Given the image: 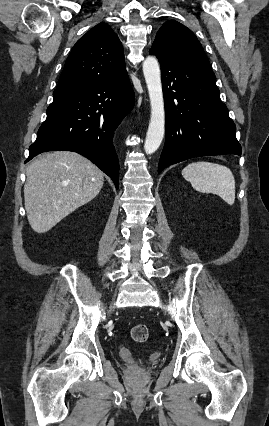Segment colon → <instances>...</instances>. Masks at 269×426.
Segmentation results:
<instances>
[{"instance_id":"1","label":"colon","mask_w":269,"mask_h":426,"mask_svg":"<svg viewBox=\"0 0 269 426\" xmlns=\"http://www.w3.org/2000/svg\"><path fill=\"white\" fill-rule=\"evenodd\" d=\"M131 336L137 343H146L150 337V329L146 324H137L132 327Z\"/></svg>"}]
</instances>
